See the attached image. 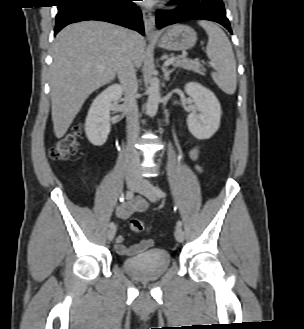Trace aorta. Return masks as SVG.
<instances>
[{
	"mask_svg": "<svg viewBox=\"0 0 304 329\" xmlns=\"http://www.w3.org/2000/svg\"><path fill=\"white\" fill-rule=\"evenodd\" d=\"M149 84L146 111L150 117H154L157 113L158 105L160 102L159 79L157 77H152L149 81Z\"/></svg>",
	"mask_w": 304,
	"mask_h": 329,
	"instance_id": "1",
	"label": "aorta"
}]
</instances>
